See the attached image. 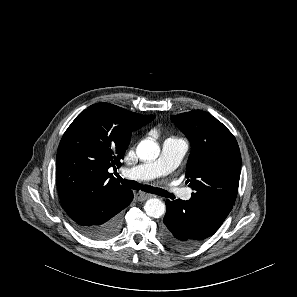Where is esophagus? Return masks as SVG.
<instances>
[{
    "label": "esophagus",
    "mask_w": 297,
    "mask_h": 297,
    "mask_svg": "<svg viewBox=\"0 0 297 297\" xmlns=\"http://www.w3.org/2000/svg\"><path fill=\"white\" fill-rule=\"evenodd\" d=\"M135 197H136V199L138 201H141L142 202V201H145V200L153 197V195L152 194L145 193V192H142V191H139V192L136 193Z\"/></svg>",
    "instance_id": "34e87169"
}]
</instances>
